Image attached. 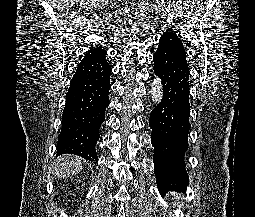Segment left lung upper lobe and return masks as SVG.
Returning a JSON list of instances; mask_svg holds the SVG:
<instances>
[{
    "instance_id": "5c2ea615",
    "label": "left lung upper lobe",
    "mask_w": 255,
    "mask_h": 217,
    "mask_svg": "<svg viewBox=\"0 0 255 217\" xmlns=\"http://www.w3.org/2000/svg\"><path fill=\"white\" fill-rule=\"evenodd\" d=\"M159 45L171 48L186 56V51L184 49L183 43L175 32L171 31L164 32L159 40Z\"/></svg>"
}]
</instances>
